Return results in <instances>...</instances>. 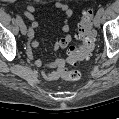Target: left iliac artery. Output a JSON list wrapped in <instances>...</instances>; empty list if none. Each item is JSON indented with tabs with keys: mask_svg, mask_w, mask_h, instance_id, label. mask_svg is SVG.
Returning a JSON list of instances; mask_svg holds the SVG:
<instances>
[{
	"mask_svg": "<svg viewBox=\"0 0 119 119\" xmlns=\"http://www.w3.org/2000/svg\"><path fill=\"white\" fill-rule=\"evenodd\" d=\"M104 11H105L104 7H101V8H99L98 13L100 15H103Z\"/></svg>",
	"mask_w": 119,
	"mask_h": 119,
	"instance_id": "44dca946",
	"label": "left iliac artery"
}]
</instances>
